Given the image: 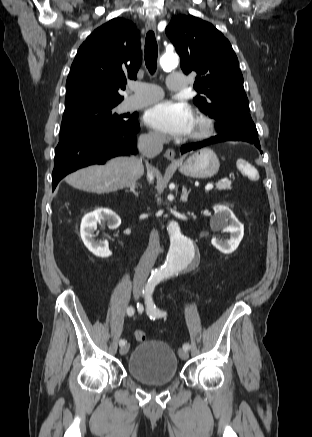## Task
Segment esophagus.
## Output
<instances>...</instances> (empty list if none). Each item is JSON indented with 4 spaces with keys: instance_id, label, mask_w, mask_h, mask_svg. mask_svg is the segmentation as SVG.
Here are the masks:
<instances>
[{
    "instance_id": "1",
    "label": "esophagus",
    "mask_w": 312,
    "mask_h": 437,
    "mask_svg": "<svg viewBox=\"0 0 312 437\" xmlns=\"http://www.w3.org/2000/svg\"><path fill=\"white\" fill-rule=\"evenodd\" d=\"M146 29L147 30H155L156 29V22L154 19H149L147 20L146 24ZM164 157L170 161L171 163L175 162V152L173 149L168 148L165 153H164Z\"/></svg>"
}]
</instances>
